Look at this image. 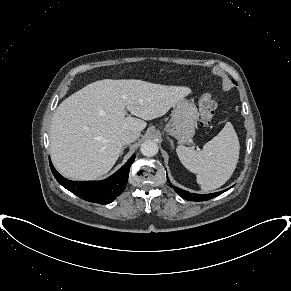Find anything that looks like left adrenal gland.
I'll list each match as a JSON object with an SVG mask.
<instances>
[{
  "label": "left adrenal gland",
  "instance_id": "obj_1",
  "mask_svg": "<svg viewBox=\"0 0 291 291\" xmlns=\"http://www.w3.org/2000/svg\"><path fill=\"white\" fill-rule=\"evenodd\" d=\"M169 142H170L172 148L174 149V143H173V140H172V139H169Z\"/></svg>",
  "mask_w": 291,
  "mask_h": 291
}]
</instances>
